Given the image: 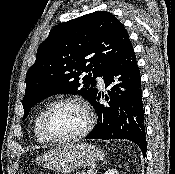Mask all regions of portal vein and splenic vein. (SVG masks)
Returning <instances> with one entry per match:
<instances>
[{
  "label": "portal vein and splenic vein",
  "instance_id": "1",
  "mask_svg": "<svg viewBox=\"0 0 175 174\" xmlns=\"http://www.w3.org/2000/svg\"><path fill=\"white\" fill-rule=\"evenodd\" d=\"M88 174H93V170H88Z\"/></svg>",
  "mask_w": 175,
  "mask_h": 174
}]
</instances>
